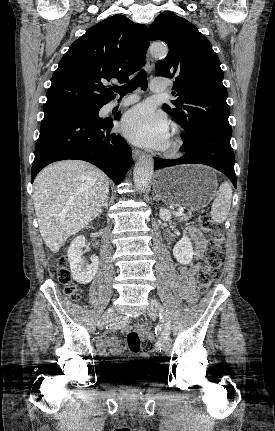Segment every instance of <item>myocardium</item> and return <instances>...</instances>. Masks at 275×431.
<instances>
[{"instance_id":"f54148a6","label":"myocardium","mask_w":275,"mask_h":431,"mask_svg":"<svg viewBox=\"0 0 275 431\" xmlns=\"http://www.w3.org/2000/svg\"><path fill=\"white\" fill-rule=\"evenodd\" d=\"M184 141L182 132L178 125L171 126V133L167 145L164 147L163 152L167 158H176L180 155L183 148Z\"/></svg>"}]
</instances>
